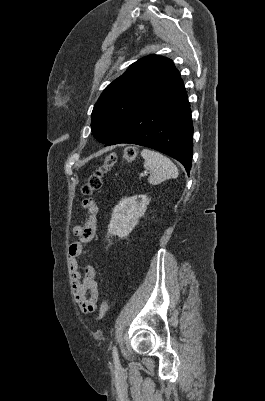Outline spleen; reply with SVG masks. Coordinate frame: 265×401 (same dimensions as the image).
Instances as JSON below:
<instances>
[{"instance_id":"spleen-1","label":"spleen","mask_w":265,"mask_h":401,"mask_svg":"<svg viewBox=\"0 0 265 401\" xmlns=\"http://www.w3.org/2000/svg\"><path fill=\"white\" fill-rule=\"evenodd\" d=\"M141 156L144 158V168L151 172L148 178L150 184H160L167 178H177L178 168L167 156L149 148H143Z\"/></svg>"}]
</instances>
